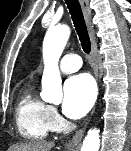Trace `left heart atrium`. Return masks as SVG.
I'll use <instances>...</instances> for the list:
<instances>
[{"label": "left heart atrium", "mask_w": 131, "mask_h": 151, "mask_svg": "<svg viewBox=\"0 0 131 151\" xmlns=\"http://www.w3.org/2000/svg\"><path fill=\"white\" fill-rule=\"evenodd\" d=\"M96 95L92 77L81 73L70 77L64 85L63 112L69 118L77 119L91 108Z\"/></svg>", "instance_id": "obj_1"}]
</instances>
